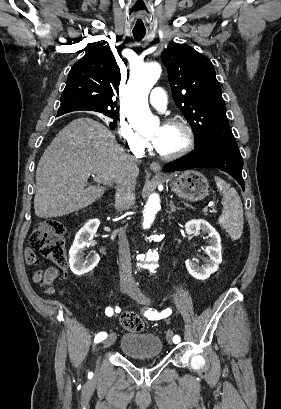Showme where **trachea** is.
<instances>
[{
	"instance_id": "1",
	"label": "trachea",
	"mask_w": 281,
	"mask_h": 409,
	"mask_svg": "<svg viewBox=\"0 0 281 409\" xmlns=\"http://www.w3.org/2000/svg\"><path fill=\"white\" fill-rule=\"evenodd\" d=\"M145 35H146V32H133L134 39L137 42H140L144 38Z\"/></svg>"
}]
</instances>
